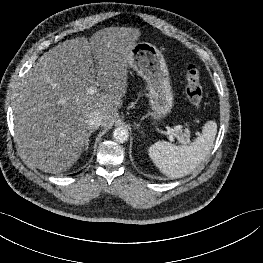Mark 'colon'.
I'll use <instances>...</instances> for the list:
<instances>
[{
    "instance_id": "obj_1",
    "label": "colon",
    "mask_w": 263,
    "mask_h": 263,
    "mask_svg": "<svg viewBox=\"0 0 263 263\" xmlns=\"http://www.w3.org/2000/svg\"><path fill=\"white\" fill-rule=\"evenodd\" d=\"M185 94L188 101L195 108H199L203 100V88L200 83V73L197 66L191 62L186 66Z\"/></svg>"
}]
</instances>
